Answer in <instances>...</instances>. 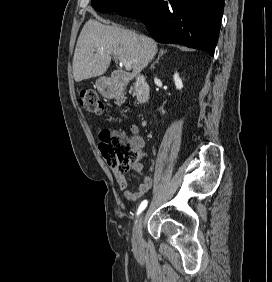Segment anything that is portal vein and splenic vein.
<instances>
[{"label": "portal vein and splenic vein", "instance_id": "portal-vein-and-splenic-vein-1", "mask_svg": "<svg viewBox=\"0 0 272 282\" xmlns=\"http://www.w3.org/2000/svg\"><path fill=\"white\" fill-rule=\"evenodd\" d=\"M118 60L120 61L121 64L124 65V67L127 69V70H130L131 69V62L121 58V57H118Z\"/></svg>", "mask_w": 272, "mask_h": 282}]
</instances>
